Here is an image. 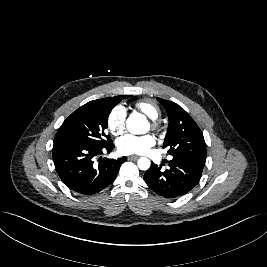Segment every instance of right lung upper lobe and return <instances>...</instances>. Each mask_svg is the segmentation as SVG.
Returning a JSON list of instances; mask_svg holds the SVG:
<instances>
[{"instance_id": "right-lung-upper-lobe-1", "label": "right lung upper lobe", "mask_w": 267, "mask_h": 267, "mask_svg": "<svg viewBox=\"0 0 267 267\" xmlns=\"http://www.w3.org/2000/svg\"><path fill=\"white\" fill-rule=\"evenodd\" d=\"M122 95L116 96L115 98H120Z\"/></svg>"}]
</instances>
